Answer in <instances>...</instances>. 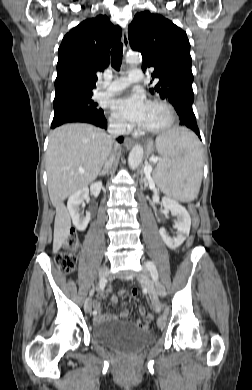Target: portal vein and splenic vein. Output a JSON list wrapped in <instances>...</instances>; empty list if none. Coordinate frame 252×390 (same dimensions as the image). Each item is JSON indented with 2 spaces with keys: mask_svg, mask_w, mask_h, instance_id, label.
I'll list each match as a JSON object with an SVG mask.
<instances>
[{
  "mask_svg": "<svg viewBox=\"0 0 252 390\" xmlns=\"http://www.w3.org/2000/svg\"><path fill=\"white\" fill-rule=\"evenodd\" d=\"M150 161L153 162V163H157L158 162V158L157 157H151ZM151 171H152V167L150 165L145 166L144 173H145V175L147 177H150V172Z\"/></svg>",
  "mask_w": 252,
  "mask_h": 390,
  "instance_id": "portal-vein-and-splenic-vein-1",
  "label": "portal vein and splenic vein"
}]
</instances>
